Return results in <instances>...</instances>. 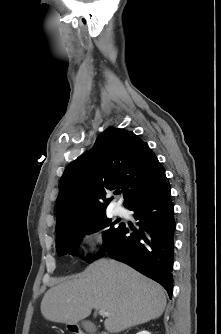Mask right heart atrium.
<instances>
[{
    "mask_svg": "<svg viewBox=\"0 0 221 334\" xmlns=\"http://www.w3.org/2000/svg\"><path fill=\"white\" fill-rule=\"evenodd\" d=\"M83 240L87 246L89 254L96 256L100 253L105 244L104 232L100 227H89L83 233Z\"/></svg>",
    "mask_w": 221,
    "mask_h": 334,
    "instance_id": "right-heart-atrium-1",
    "label": "right heart atrium"
}]
</instances>
